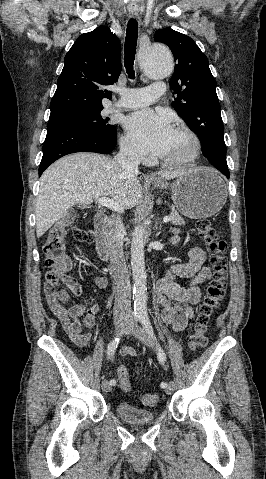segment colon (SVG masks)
I'll return each instance as SVG.
<instances>
[{
	"instance_id": "5ec220e1",
	"label": "colon",
	"mask_w": 266,
	"mask_h": 479,
	"mask_svg": "<svg viewBox=\"0 0 266 479\" xmlns=\"http://www.w3.org/2000/svg\"><path fill=\"white\" fill-rule=\"evenodd\" d=\"M73 220L70 214L65 220L55 224L50 231L43 247L45 255V286L48 290L54 289L64 273L70 267V259L66 254L65 237L67 227ZM196 231L203 239L213 270L206 295L200 305L199 312L189 337V348L193 351L201 350L207 345L208 327L216 309L222 301L227 278V261L225 257L226 243L216 233L208 219H200L196 223ZM74 237L79 241H89L91 233L79 228L74 229ZM119 386L125 392H130L132 386L129 380V372L125 366L118 368ZM141 402L147 406H153L158 402V394L145 393L141 396Z\"/></svg>"
}]
</instances>
